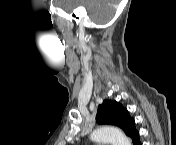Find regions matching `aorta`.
Returning a JSON list of instances; mask_svg holds the SVG:
<instances>
[{
	"label": "aorta",
	"instance_id": "aorta-1",
	"mask_svg": "<svg viewBox=\"0 0 176 145\" xmlns=\"http://www.w3.org/2000/svg\"><path fill=\"white\" fill-rule=\"evenodd\" d=\"M90 138L97 143L131 145V141L119 129L114 127H99L93 131Z\"/></svg>",
	"mask_w": 176,
	"mask_h": 145
}]
</instances>
